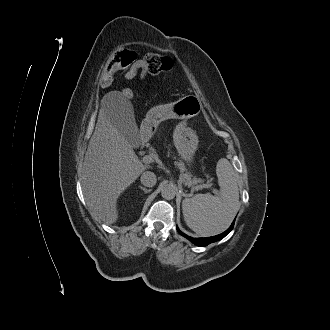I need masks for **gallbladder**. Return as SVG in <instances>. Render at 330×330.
<instances>
[{
	"label": "gallbladder",
	"instance_id": "obj_1",
	"mask_svg": "<svg viewBox=\"0 0 330 330\" xmlns=\"http://www.w3.org/2000/svg\"><path fill=\"white\" fill-rule=\"evenodd\" d=\"M115 123L123 135L131 142L137 134L133 106L129 102L119 103L114 107Z\"/></svg>",
	"mask_w": 330,
	"mask_h": 330
}]
</instances>
